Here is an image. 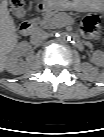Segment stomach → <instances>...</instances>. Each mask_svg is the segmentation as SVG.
<instances>
[{"mask_svg": "<svg viewBox=\"0 0 104 137\" xmlns=\"http://www.w3.org/2000/svg\"><path fill=\"white\" fill-rule=\"evenodd\" d=\"M99 0H44L43 7L47 10L78 9L93 10Z\"/></svg>", "mask_w": 104, "mask_h": 137, "instance_id": "1", "label": "stomach"}]
</instances>
